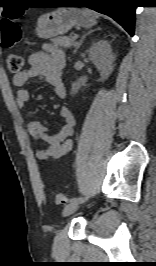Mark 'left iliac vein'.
Listing matches in <instances>:
<instances>
[{"mask_svg": "<svg viewBox=\"0 0 156 266\" xmlns=\"http://www.w3.org/2000/svg\"><path fill=\"white\" fill-rule=\"evenodd\" d=\"M80 203H75V202H70L69 204H67L64 209H63V216H68L72 213H74L78 207H79Z\"/></svg>", "mask_w": 156, "mask_h": 266, "instance_id": "1", "label": "left iliac vein"}]
</instances>
